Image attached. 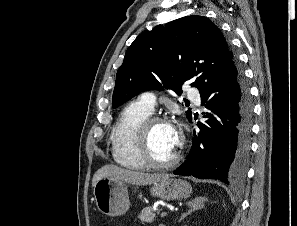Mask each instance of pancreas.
Masks as SVG:
<instances>
[{"label":"pancreas","instance_id":"cf45deb5","mask_svg":"<svg viewBox=\"0 0 297 226\" xmlns=\"http://www.w3.org/2000/svg\"><path fill=\"white\" fill-rule=\"evenodd\" d=\"M156 217L153 207H145L138 215L141 223H152Z\"/></svg>","mask_w":297,"mask_h":226}]
</instances>
